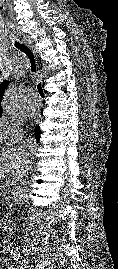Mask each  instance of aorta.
Instances as JSON below:
<instances>
[{
	"label": "aorta",
	"instance_id": "762f6f07",
	"mask_svg": "<svg viewBox=\"0 0 118 269\" xmlns=\"http://www.w3.org/2000/svg\"><path fill=\"white\" fill-rule=\"evenodd\" d=\"M13 94V89L10 90L9 95H8V99L11 98V95ZM28 198V194L27 191L25 189V187L23 186H18L14 192H13V199L15 201V203L17 204H23ZM12 251L16 252L17 248L15 246L12 247Z\"/></svg>",
	"mask_w": 118,
	"mask_h": 269
}]
</instances>
